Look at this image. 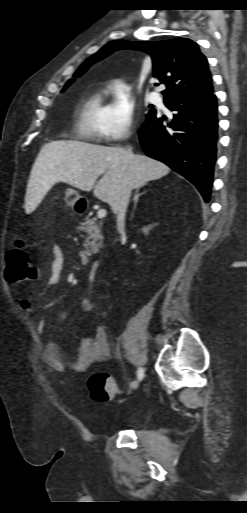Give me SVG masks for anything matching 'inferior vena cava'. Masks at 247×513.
Instances as JSON below:
<instances>
[{"instance_id": "1", "label": "inferior vena cava", "mask_w": 247, "mask_h": 513, "mask_svg": "<svg viewBox=\"0 0 247 513\" xmlns=\"http://www.w3.org/2000/svg\"><path fill=\"white\" fill-rule=\"evenodd\" d=\"M131 190L132 188L129 184H123L118 191L115 201L111 204L112 210L117 215L119 230L124 225L125 213L130 200Z\"/></svg>"}]
</instances>
